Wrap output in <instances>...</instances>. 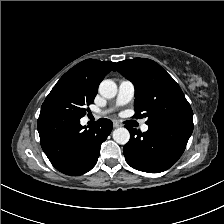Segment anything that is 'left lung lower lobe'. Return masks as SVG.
Listing matches in <instances>:
<instances>
[{
  "label": "left lung lower lobe",
  "instance_id": "1",
  "mask_svg": "<svg viewBox=\"0 0 224 224\" xmlns=\"http://www.w3.org/2000/svg\"><path fill=\"white\" fill-rule=\"evenodd\" d=\"M131 134L123 148L127 163L134 169L159 173L170 168L183 154L193 125L158 123L141 133L126 126Z\"/></svg>",
  "mask_w": 224,
  "mask_h": 224
}]
</instances>
